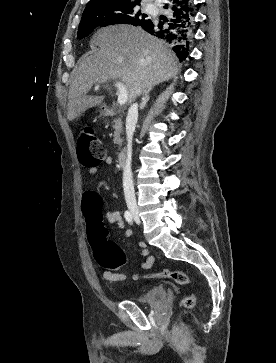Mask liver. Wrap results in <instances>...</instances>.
<instances>
[{"mask_svg":"<svg viewBox=\"0 0 276 363\" xmlns=\"http://www.w3.org/2000/svg\"><path fill=\"white\" fill-rule=\"evenodd\" d=\"M91 44L99 49L84 55L73 70L67 104L69 121L102 103L104 96L87 95L94 84L121 80L127 89V99L132 102L142 92L175 77L180 70L176 56L165 42L141 27L102 28Z\"/></svg>","mask_w":276,"mask_h":363,"instance_id":"obj_1","label":"liver"}]
</instances>
